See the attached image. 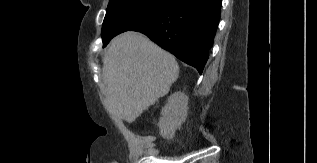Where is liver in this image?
Listing matches in <instances>:
<instances>
[{"mask_svg": "<svg viewBox=\"0 0 317 163\" xmlns=\"http://www.w3.org/2000/svg\"><path fill=\"white\" fill-rule=\"evenodd\" d=\"M102 62L106 106L114 121L134 122L169 92L179 73L173 55L132 31L112 39Z\"/></svg>", "mask_w": 317, "mask_h": 163, "instance_id": "1", "label": "liver"}]
</instances>
